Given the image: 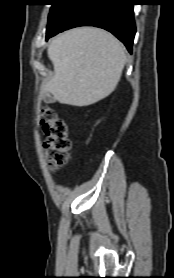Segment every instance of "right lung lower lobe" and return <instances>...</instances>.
Here are the masks:
<instances>
[{
  "mask_svg": "<svg viewBox=\"0 0 174 278\" xmlns=\"http://www.w3.org/2000/svg\"><path fill=\"white\" fill-rule=\"evenodd\" d=\"M134 0H78L54 27L47 30L46 40L77 26H96L110 31L132 52L136 28Z\"/></svg>",
  "mask_w": 174,
  "mask_h": 278,
  "instance_id": "98d812e1",
  "label": "right lung lower lobe"
}]
</instances>
